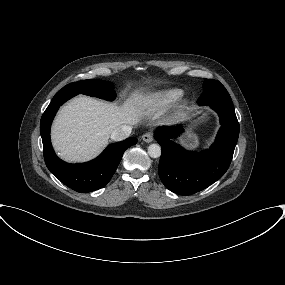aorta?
Returning a JSON list of instances; mask_svg holds the SVG:
<instances>
[{"label": "aorta", "instance_id": "obj_1", "mask_svg": "<svg viewBox=\"0 0 285 285\" xmlns=\"http://www.w3.org/2000/svg\"><path fill=\"white\" fill-rule=\"evenodd\" d=\"M148 154L152 158H158L161 155V147L158 144H151L148 146Z\"/></svg>", "mask_w": 285, "mask_h": 285}]
</instances>
